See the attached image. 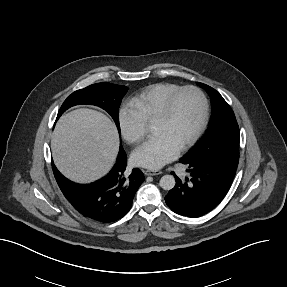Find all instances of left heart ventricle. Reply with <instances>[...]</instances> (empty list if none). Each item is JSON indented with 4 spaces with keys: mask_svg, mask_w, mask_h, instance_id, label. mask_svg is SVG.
<instances>
[{
    "mask_svg": "<svg viewBox=\"0 0 287 287\" xmlns=\"http://www.w3.org/2000/svg\"><path fill=\"white\" fill-rule=\"evenodd\" d=\"M201 118V102L194 92H185L175 101L166 122L154 123V136H164L178 149L189 139Z\"/></svg>",
    "mask_w": 287,
    "mask_h": 287,
    "instance_id": "b2bd125f",
    "label": "left heart ventricle"
}]
</instances>
